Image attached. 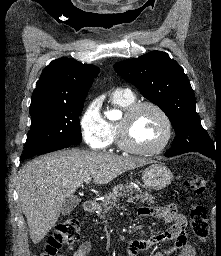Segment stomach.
I'll use <instances>...</instances> for the list:
<instances>
[{
	"label": "stomach",
	"instance_id": "obj_1",
	"mask_svg": "<svg viewBox=\"0 0 221 256\" xmlns=\"http://www.w3.org/2000/svg\"><path fill=\"white\" fill-rule=\"evenodd\" d=\"M172 179L173 174L170 169L160 163H152L142 173L144 185L153 190L164 189Z\"/></svg>",
	"mask_w": 221,
	"mask_h": 256
}]
</instances>
